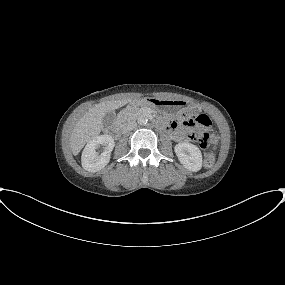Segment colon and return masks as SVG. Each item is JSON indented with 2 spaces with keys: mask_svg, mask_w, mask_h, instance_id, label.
I'll list each match as a JSON object with an SVG mask.
<instances>
[{
  "mask_svg": "<svg viewBox=\"0 0 285 285\" xmlns=\"http://www.w3.org/2000/svg\"><path fill=\"white\" fill-rule=\"evenodd\" d=\"M183 124L190 129L188 137L196 140L199 146L205 151L204 166L211 167L215 161L216 152V136L208 133L211 121L206 114H195L193 112H186L182 117Z\"/></svg>",
  "mask_w": 285,
  "mask_h": 285,
  "instance_id": "5ec220e1",
  "label": "colon"
}]
</instances>
